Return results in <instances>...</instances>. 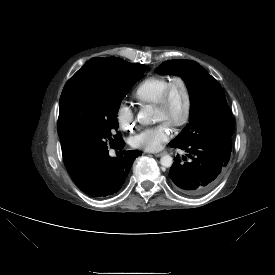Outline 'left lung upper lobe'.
Instances as JSON below:
<instances>
[{"label": "left lung upper lobe", "instance_id": "left-lung-upper-lobe-1", "mask_svg": "<svg viewBox=\"0 0 275 275\" xmlns=\"http://www.w3.org/2000/svg\"><path fill=\"white\" fill-rule=\"evenodd\" d=\"M157 72L181 76L190 95L189 123L170 143L206 141L231 146L234 122L221 85L195 61H166Z\"/></svg>", "mask_w": 275, "mask_h": 275}]
</instances>
